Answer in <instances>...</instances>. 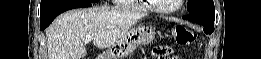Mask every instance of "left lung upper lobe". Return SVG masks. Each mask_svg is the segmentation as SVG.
Here are the masks:
<instances>
[{"instance_id":"5c2ea615","label":"left lung upper lobe","mask_w":261,"mask_h":59,"mask_svg":"<svg viewBox=\"0 0 261 59\" xmlns=\"http://www.w3.org/2000/svg\"><path fill=\"white\" fill-rule=\"evenodd\" d=\"M187 10L190 14L215 19L213 0H188Z\"/></svg>"}]
</instances>
